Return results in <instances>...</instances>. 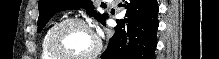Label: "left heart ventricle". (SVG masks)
Instances as JSON below:
<instances>
[{
  "mask_svg": "<svg viewBox=\"0 0 219 59\" xmlns=\"http://www.w3.org/2000/svg\"><path fill=\"white\" fill-rule=\"evenodd\" d=\"M59 46L68 55L80 56L91 52L95 47L92 32L81 25H70L59 36Z\"/></svg>",
  "mask_w": 219,
  "mask_h": 59,
  "instance_id": "obj_1",
  "label": "left heart ventricle"
}]
</instances>
